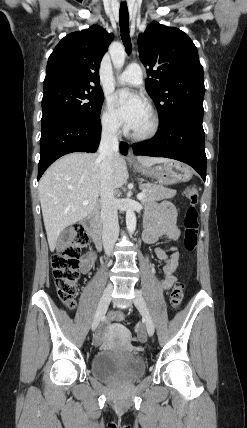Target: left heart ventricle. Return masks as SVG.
I'll list each match as a JSON object with an SVG mask.
<instances>
[{"label":"left heart ventricle","instance_id":"1","mask_svg":"<svg viewBox=\"0 0 247 428\" xmlns=\"http://www.w3.org/2000/svg\"><path fill=\"white\" fill-rule=\"evenodd\" d=\"M150 125H151V118H150L149 112H147L144 118L141 120V122L136 126L134 131L138 133L145 132L149 129Z\"/></svg>","mask_w":247,"mask_h":428}]
</instances>
